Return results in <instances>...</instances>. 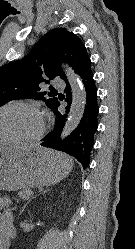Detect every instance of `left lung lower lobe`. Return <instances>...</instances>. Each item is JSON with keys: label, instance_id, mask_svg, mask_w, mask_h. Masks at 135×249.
<instances>
[{"label": "left lung lower lobe", "instance_id": "obj_1", "mask_svg": "<svg viewBox=\"0 0 135 249\" xmlns=\"http://www.w3.org/2000/svg\"><path fill=\"white\" fill-rule=\"evenodd\" d=\"M82 79L83 86L86 92V102L82 118L76 129L66 138L61 140L60 133L65 125L67 114L61 113L58 110L60 102L57 101L52 108L56 115V123L54 130L50 132L41 143L44 147L53 148L65 152L75 157L84 168L88 167L90 163V152L94 145V134L98 128V113L99 105L97 102V89L93 78L91 69V62L85 67L83 72L79 75ZM71 88L67 82L65 88L66 98L68 102L66 112H69L72 103Z\"/></svg>", "mask_w": 135, "mask_h": 249}]
</instances>
